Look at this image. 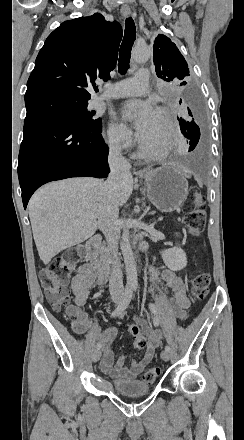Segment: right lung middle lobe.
<instances>
[{"mask_svg":"<svg viewBox=\"0 0 244 440\" xmlns=\"http://www.w3.org/2000/svg\"><path fill=\"white\" fill-rule=\"evenodd\" d=\"M90 98H74L56 94L25 98L27 114L43 113L60 117L82 127H92L101 123L94 119L93 111H88Z\"/></svg>","mask_w":244,"mask_h":440,"instance_id":"dd1d6c3e","label":"right lung middle lobe"}]
</instances>
